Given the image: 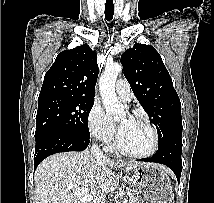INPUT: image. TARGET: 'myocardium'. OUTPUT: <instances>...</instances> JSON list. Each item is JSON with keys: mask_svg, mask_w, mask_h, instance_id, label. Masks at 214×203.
Listing matches in <instances>:
<instances>
[{"mask_svg": "<svg viewBox=\"0 0 214 203\" xmlns=\"http://www.w3.org/2000/svg\"><path fill=\"white\" fill-rule=\"evenodd\" d=\"M134 120L144 124L152 133L153 136V142H152V146L151 148L143 153H134V152H130L127 149L124 148V146L122 145L121 142V135H120V129L118 128V132H117V138H116V148L117 150L122 153L123 155L130 157V158H135V159H144V158H148L150 156H152L153 154H155V152L158 149L159 146V134L157 129L147 120L142 119V118H133Z\"/></svg>", "mask_w": 214, "mask_h": 203, "instance_id": "1", "label": "myocardium"}]
</instances>
